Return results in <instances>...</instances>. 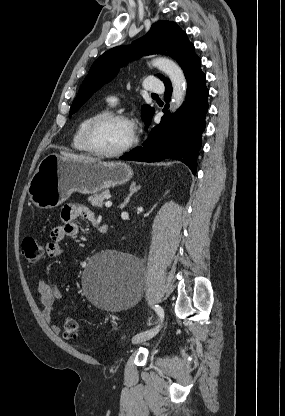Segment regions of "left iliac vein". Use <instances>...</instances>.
<instances>
[{
    "label": "left iliac vein",
    "mask_w": 285,
    "mask_h": 416,
    "mask_svg": "<svg viewBox=\"0 0 285 416\" xmlns=\"http://www.w3.org/2000/svg\"><path fill=\"white\" fill-rule=\"evenodd\" d=\"M162 325H158L152 329L146 330L144 332H141L133 337L132 342L134 344H140L146 340H149L157 335Z\"/></svg>",
    "instance_id": "left-iliac-vein-1"
}]
</instances>
